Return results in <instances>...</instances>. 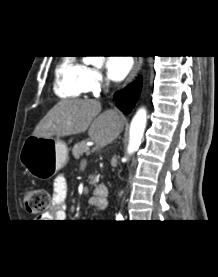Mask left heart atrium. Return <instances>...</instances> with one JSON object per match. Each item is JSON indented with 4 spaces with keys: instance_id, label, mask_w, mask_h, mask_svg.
<instances>
[{
    "instance_id": "1",
    "label": "left heart atrium",
    "mask_w": 218,
    "mask_h": 277,
    "mask_svg": "<svg viewBox=\"0 0 218 277\" xmlns=\"http://www.w3.org/2000/svg\"><path fill=\"white\" fill-rule=\"evenodd\" d=\"M109 77L114 81L122 80L130 71L132 61L126 57H109L106 62Z\"/></svg>"
}]
</instances>
